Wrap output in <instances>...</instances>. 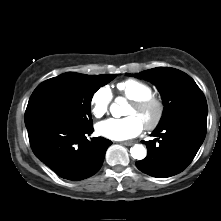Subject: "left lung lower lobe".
Segmentation results:
<instances>
[{
	"instance_id": "obj_1",
	"label": "left lung lower lobe",
	"mask_w": 221,
	"mask_h": 221,
	"mask_svg": "<svg viewBox=\"0 0 221 221\" xmlns=\"http://www.w3.org/2000/svg\"><path fill=\"white\" fill-rule=\"evenodd\" d=\"M207 113V109L190 110L157 126L151 136L158 139L145 142L147 157L136 162L137 168L157 178L174 176L186 169L206 136Z\"/></svg>"
}]
</instances>
